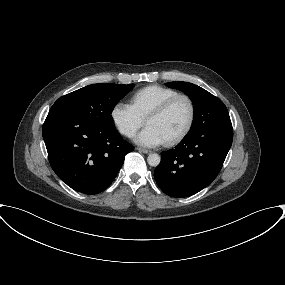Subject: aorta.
Returning a JSON list of instances; mask_svg holds the SVG:
<instances>
[{
  "instance_id": "obj_1",
  "label": "aorta",
  "mask_w": 285,
  "mask_h": 285,
  "mask_svg": "<svg viewBox=\"0 0 285 285\" xmlns=\"http://www.w3.org/2000/svg\"><path fill=\"white\" fill-rule=\"evenodd\" d=\"M161 158L158 154H150L147 158V162L150 166L156 167L160 164Z\"/></svg>"
}]
</instances>
